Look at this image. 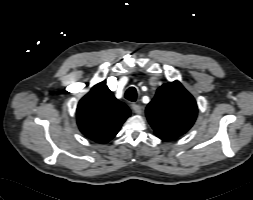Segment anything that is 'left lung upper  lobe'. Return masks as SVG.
Masks as SVG:
<instances>
[{"label": "left lung upper lobe", "instance_id": "obj_1", "mask_svg": "<svg viewBox=\"0 0 253 200\" xmlns=\"http://www.w3.org/2000/svg\"><path fill=\"white\" fill-rule=\"evenodd\" d=\"M146 116L157 136L176 138L194 124L196 101L180 82H169L158 88L146 108Z\"/></svg>", "mask_w": 253, "mask_h": 200}]
</instances>
